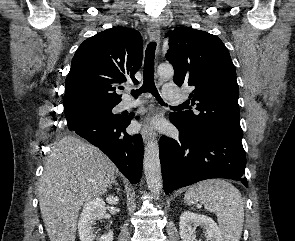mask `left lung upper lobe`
I'll list each match as a JSON object with an SVG mask.
<instances>
[{"label":"left lung upper lobe","mask_w":295,"mask_h":241,"mask_svg":"<svg viewBox=\"0 0 295 241\" xmlns=\"http://www.w3.org/2000/svg\"><path fill=\"white\" fill-rule=\"evenodd\" d=\"M166 36V59L174 67L173 81L178 86L194 87L189 98L197 112L171 114L180 128L189 134L211 132L241 141L239 87L225 45L212 34L186 27L176 28Z\"/></svg>","instance_id":"left-lung-upper-lobe-1"}]
</instances>
